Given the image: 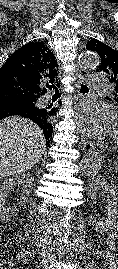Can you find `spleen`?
I'll list each match as a JSON object with an SVG mask.
<instances>
[{"mask_svg":"<svg viewBox=\"0 0 118 269\" xmlns=\"http://www.w3.org/2000/svg\"><path fill=\"white\" fill-rule=\"evenodd\" d=\"M115 165H116V171H118V164H117V162H115Z\"/></svg>","mask_w":118,"mask_h":269,"instance_id":"1","label":"spleen"}]
</instances>
